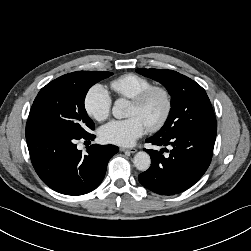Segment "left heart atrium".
<instances>
[{
  "label": "left heart atrium",
  "instance_id": "1",
  "mask_svg": "<svg viewBox=\"0 0 251 251\" xmlns=\"http://www.w3.org/2000/svg\"><path fill=\"white\" fill-rule=\"evenodd\" d=\"M147 128L139 116H132L105 124L99 130V137L105 143L130 146L146 132Z\"/></svg>",
  "mask_w": 251,
  "mask_h": 251
}]
</instances>
